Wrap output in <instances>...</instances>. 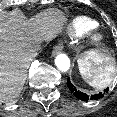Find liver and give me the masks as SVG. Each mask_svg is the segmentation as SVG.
Wrapping results in <instances>:
<instances>
[{
    "mask_svg": "<svg viewBox=\"0 0 117 117\" xmlns=\"http://www.w3.org/2000/svg\"><path fill=\"white\" fill-rule=\"evenodd\" d=\"M66 23V15L56 8L31 19L20 10L0 11V103L19 96L36 47L59 35Z\"/></svg>",
    "mask_w": 117,
    "mask_h": 117,
    "instance_id": "6515ba94",
    "label": "liver"
}]
</instances>
